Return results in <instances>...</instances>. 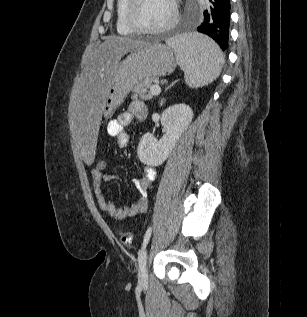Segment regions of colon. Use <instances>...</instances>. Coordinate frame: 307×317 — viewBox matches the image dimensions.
I'll return each instance as SVG.
<instances>
[{
    "label": "colon",
    "mask_w": 307,
    "mask_h": 317,
    "mask_svg": "<svg viewBox=\"0 0 307 317\" xmlns=\"http://www.w3.org/2000/svg\"><path fill=\"white\" fill-rule=\"evenodd\" d=\"M107 163L103 158H98L95 160V167L94 169L99 172H104L106 169ZM119 240L124 245H131L133 241V236L129 232H121L119 234Z\"/></svg>",
    "instance_id": "5ec220e1"
}]
</instances>
